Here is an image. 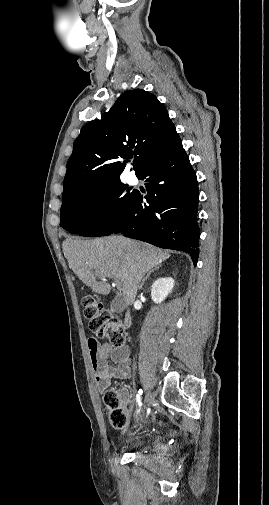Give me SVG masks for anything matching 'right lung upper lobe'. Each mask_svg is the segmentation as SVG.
I'll return each instance as SVG.
<instances>
[{
    "instance_id": "obj_1",
    "label": "right lung upper lobe",
    "mask_w": 269,
    "mask_h": 505,
    "mask_svg": "<svg viewBox=\"0 0 269 505\" xmlns=\"http://www.w3.org/2000/svg\"><path fill=\"white\" fill-rule=\"evenodd\" d=\"M181 142L167 109L156 96L134 89L113 107L84 125L67 163L62 202L77 193L120 180L126 161L134 156L138 176L157 157Z\"/></svg>"
}]
</instances>
